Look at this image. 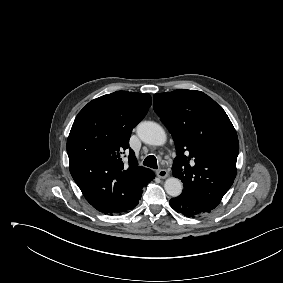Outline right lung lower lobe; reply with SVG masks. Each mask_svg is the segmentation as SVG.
Wrapping results in <instances>:
<instances>
[{"instance_id":"obj_1","label":"right lung lower lobe","mask_w":283,"mask_h":283,"mask_svg":"<svg viewBox=\"0 0 283 283\" xmlns=\"http://www.w3.org/2000/svg\"><path fill=\"white\" fill-rule=\"evenodd\" d=\"M155 177V175H154V173H153V175L152 176H150L147 180V182H149V181H151L153 178Z\"/></svg>"}]
</instances>
